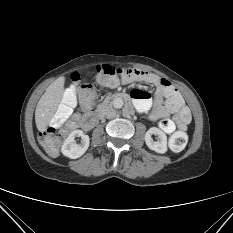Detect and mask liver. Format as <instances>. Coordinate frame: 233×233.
I'll use <instances>...</instances> for the list:
<instances>
[{
	"label": "liver",
	"instance_id": "1",
	"mask_svg": "<svg viewBox=\"0 0 233 233\" xmlns=\"http://www.w3.org/2000/svg\"><path fill=\"white\" fill-rule=\"evenodd\" d=\"M65 77L57 78L50 84L41 96L35 110L36 127L40 132H45L52 120L64 94Z\"/></svg>",
	"mask_w": 233,
	"mask_h": 233
}]
</instances>
